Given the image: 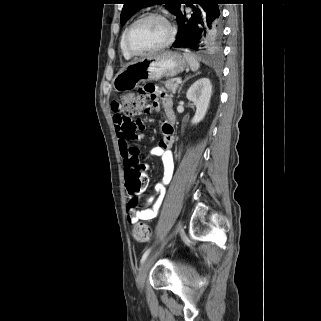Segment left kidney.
Listing matches in <instances>:
<instances>
[{"mask_svg":"<svg viewBox=\"0 0 321 321\" xmlns=\"http://www.w3.org/2000/svg\"><path fill=\"white\" fill-rule=\"evenodd\" d=\"M211 94L212 85L208 78L197 80L188 89L186 97L196 106V113L191 120L192 124H197L204 119L209 106Z\"/></svg>","mask_w":321,"mask_h":321,"instance_id":"obj_1","label":"left kidney"}]
</instances>
